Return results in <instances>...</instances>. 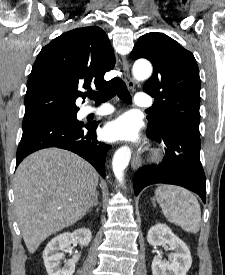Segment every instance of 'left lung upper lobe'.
Segmentation results:
<instances>
[{
    "instance_id": "1",
    "label": "left lung upper lobe",
    "mask_w": 225,
    "mask_h": 275,
    "mask_svg": "<svg viewBox=\"0 0 225 275\" xmlns=\"http://www.w3.org/2000/svg\"><path fill=\"white\" fill-rule=\"evenodd\" d=\"M136 60L146 58L154 66L144 92L155 97L149 130L168 126L199 132L200 77L193 54L165 34L152 32L139 38L131 52Z\"/></svg>"
}]
</instances>
